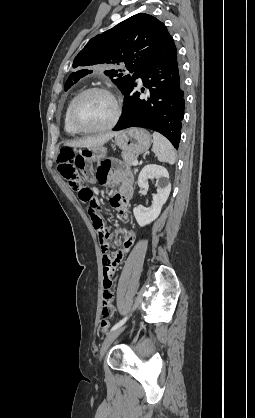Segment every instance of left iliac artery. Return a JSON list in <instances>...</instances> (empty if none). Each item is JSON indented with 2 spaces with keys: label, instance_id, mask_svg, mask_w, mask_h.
Instances as JSON below:
<instances>
[{
  "label": "left iliac artery",
  "instance_id": "obj_1",
  "mask_svg": "<svg viewBox=\"0 0 255 418\" xmlns=\"http://www.w3.org/2000/svg\"><path fill=\"white\" fill-rule=\"evenodd\" d=\"M127 321V316L126 317H124L122 320H120L118 323H116L112 328H111V330H110V332L111 331H113V330H115V329H117V328H119L120 326H122L125 322Z\"/></svg>",
  "mask_w": 255,
  "mask_h": 418
}]
</instances>
